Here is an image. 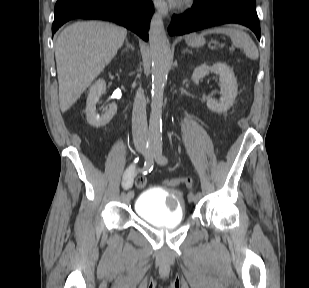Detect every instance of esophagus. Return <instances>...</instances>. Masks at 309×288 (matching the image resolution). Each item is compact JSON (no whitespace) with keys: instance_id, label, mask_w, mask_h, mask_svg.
I'll return each mask as SVG.
<instances>
[{"instance_id":"obj_1","label":"esophagus","mask_w":309,"mask_h":288,"mask_svg":"<svg viewBox=\"0 0 309 288\" xmlns=\"http://www.w3.org/2000/svg\"><path fill=\"white\" fill-rule=\"evenodd\" d=\"M155 8L161 12L163 17H167L168 15V8L164 0H153Z\"/></svg>"}]
</instances>
